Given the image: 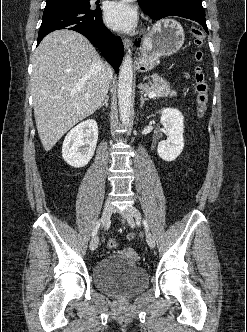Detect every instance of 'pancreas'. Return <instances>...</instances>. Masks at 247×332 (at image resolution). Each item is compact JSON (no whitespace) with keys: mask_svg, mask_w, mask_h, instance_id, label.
<instances>
[{"mask_svg":"<svg viewBox=\"0 0 247 332\" xmlns=\"http://www.w3.org/2000/svg\"><path fill=\"white\" fill-rule=\"evenodd\" d=\"M152 79L153 83H151V85L148 84L140 85V89L143 92L145 93L155 92L156 93L155 97H166L172 93L170 85L165 79L157 75L152 76Z\"/></svg>","mask_w":247,"mask_h":332,"instance_id":"cf45deb5","label":"pancreas"}]
</instances>
